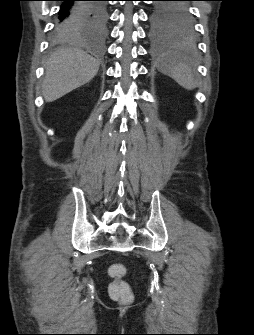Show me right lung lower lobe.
Instances as JSON below:
<instances>
[{
	"label": "right lung lower lobe",
	"instance_id": "98d812e1",
	"mask_svg": "<svg viewBox=\"0 0 254 335\" xmlns=\"http://www.w3.org/2000/svg\"><path fill=\"white\" fill-rule=\"evenodd\" d=\"M60 1L62 4L55 22L54 34L67 32L74 25H77L80 31L86 33L92 31L93 25L99 21V11L94 4L100 0Z\"/></svg>",
	"mask_w": 254,
	"mask_h": 335
}]
</instances>
